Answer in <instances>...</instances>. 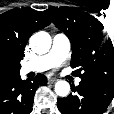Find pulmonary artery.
<instances>
[{
  "mask_svg": "<svg viewBox=\"0 0 114 114\" xmlns=\"http://www.w3.org/2000/svg\"><path fill=\"white\" fill-rule=\"evenodd\" d=\"M70 51V41L64 34H56L50 51L38 56L23 64L21 71L24 74L29 72H43L61 64L68 56ZM81 79H76L79 84Z\"/></svg>",
  "mask_w": 114,
  "mask_h": 114,
  "instance_id": "e3ab8cb5",
  "label": "pulmonary artery"
}]
</instances>
